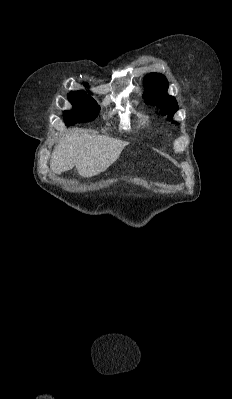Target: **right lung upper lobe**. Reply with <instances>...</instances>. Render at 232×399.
<instances>
[{"instance_id": "obj_1", "label": "right lung upper lobe", "mask_w": 232, "mask_h": 399, "mask_svg": "<svg viewBox=\"0 0 232 399\" xmlns=\"http://www.w3.org/2000/svg\"><path fill=\"white\" fill-rule=\"evenodd\" d=\"M87 86V84H85ZM68 95H87L84 91H72Z\"/></svg>"}]
</instances>
